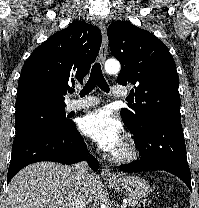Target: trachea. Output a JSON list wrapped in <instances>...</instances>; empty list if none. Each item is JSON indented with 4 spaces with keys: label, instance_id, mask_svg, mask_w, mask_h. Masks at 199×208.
<instances>
[{
    "label": "trachea",
    "instance_id": "3493384b",
    "mask_svg": "<svg viewBox=\"0 0 199 208\" xmlns=\"http://www.w3.org/2000/svg\"><path fill=\"white\" fill-rule=\"evenodd\" d=\"M96 86H98L104 92H109V85L107 84L102 74L100 63H95L91 69L90 77L83 89L80 92V96H85L91 92Z\"/></svg>",
    "mask_w": 199,
    "mask_h": 208
}]
</instances>
